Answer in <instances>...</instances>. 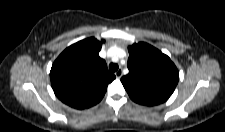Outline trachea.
Masks as SVG:
<instances>
[{
    "mask_svg": "<svg viewBox=\"0 0 225 132\" xmlns=\"http://www.w3.org/2000/svg\"><path fill=\"white\" fill-rule=\"evenodd\" d=\"M109 70H110L111 72H116V71L118 70V65L115 64V63H111V64L109 65Z\"/></svg>",
    "mask_w": 225,
    "mask_h": 132,
    "instance_id": "obj_1",
    "label": "trachea"
}]
</instances>
